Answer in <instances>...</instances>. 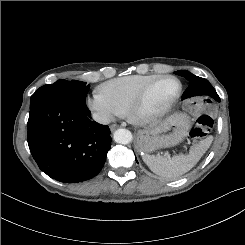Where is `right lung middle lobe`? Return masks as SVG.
I'll return each mask as SVG.
<instances>
[{
    "label": "right lung middle lobe",
    "instance_id": "dd1d6c3e",
    "mask_svg": "<svg viewBox=\"0 0 245 245\" xmlns=\"http://www.w3.org/2000/svg\"><path fill=\"white\" fill-rule=\"evenodd\" d=\"M90 86L85 82L64 79L58 80L53 84L44 85L36 90L31 96L30 107L41 101L60 100L70 104L86 105L85 99Z\"/></svg>",
    "mask_w": 245,
    "mask_h": 245
}]
</instances>
